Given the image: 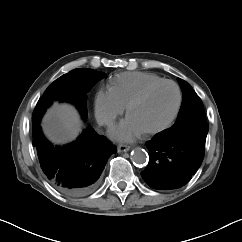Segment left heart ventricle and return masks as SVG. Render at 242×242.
<instances>
[{"mask_svg": "<svg viewBox=\"0 0 242 242\" xmlns=\"http://www.w3.org/2000/svg\"><path fill=\"white\" fill-rule=\"evenodd\" d=\"M176 102V89L172 85L164 84L135 106L129 117L142 131L155 129L169 120Z\"/></svg>", "mask_w": 242, "mask_h": 242, "instance_id": "b2bd125f", "label": "left heart ventricle"}]
</instances>
